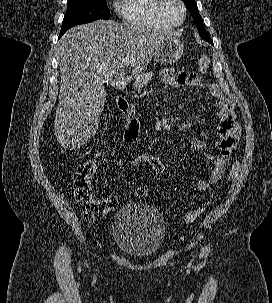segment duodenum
<instances>
[{"label":"duodenum","mask_w":272,"mask_h":303,"mask_svg":"<svg viewBox=\"0 0 272 303\" xmlns=\"http://www.w3.org/2000/svg\"><path fill=\"white\" fill-rule=\"evenodd\" d=\"M127 84V77L126 76H118L114 80V86L116 89L122 90ZM117 105L119 109L123 113H128L129 112V104L126 100V98L123 95H119L117 97ZM138 127V122L136 119H130L128 122V125L126 129L122 132V138L123 140L126 139L127 135L134 129Z\"/></svg>","instance_id":"obj_1"}]
</instances>
